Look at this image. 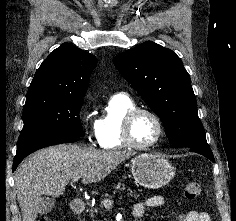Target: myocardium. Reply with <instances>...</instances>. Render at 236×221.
I'll return each instance as SVG.
<instances>
[{"mask_svg":"<svg viewBox=\"0 0 236 221\" xmlns=\"http://www.w3.org/2000/svg\"><path fill=\"white\" fill-rule=\"evenodd\" d=\"M140 114H147V115L151 116L154 119V121L156 122L157 127H158V134H157L156 138L152 142L145 144V145H141V144L136 143L132 137L133 121ZM121 136H122V140L126 146L133 148V149H137V150H147V149H150V148L156 146L161 141V139L164 136V125H163V122H162L161 118L159 117V115L156 112H154L153 110H151L149 108L135 107V108L129 110L125 114V116L123 117L122 126H121Z\"/></svg>","mask_w":236,"mask_h":221,"instance_id":"1","label":"myocardium"}]
</instances>
